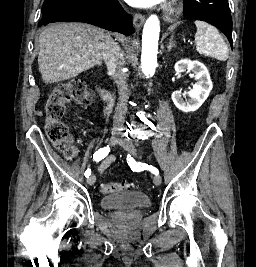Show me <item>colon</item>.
Instances as JSON below:
<instances>
[{
	"instance_id": "5ec220e1",
	"label": "colon",
	"mask_w": 256,
	"mask_h": 267,
	"mask_svg": "<svg viewBox=\"0 0 256 267\" xmlns=\"http://www.w3.org/2000/svg\"><path fill=\"white\" fill-rule=\"evenodd\" d=\"M91 95L85 84L80 80H71L65 85H61L51 91L46 104V134L57 148H62L68 160H72L76 155V147L71 144L69 130L63 118L66 115V105L69 103H89ZM135 189L130 182H105L101 184V192L113 194L118 192H129Z\"/></svg>"
}]
</instances>
